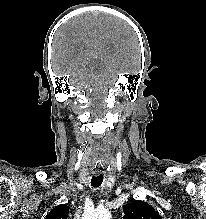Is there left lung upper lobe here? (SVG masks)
Masks as SVG:
<instances>
[{
	"label": "left lung upper lobe",
	"instance_id": "left-lung-upper-lobe-1",
	"mask_svg": "<svg viewBox=\"0 0 206 219\" xmlns=\"http://www.w3.org/2000/svg\"><path fill=\"white\" fill-rule=\"evenodd\" d=\"M123 219H161L151 205L144 201H133L123 207Z\"/></svg>",
	"mask_w": 206,
	"mask_h": 219
}]
</instances>
